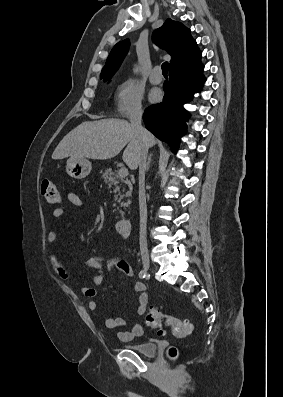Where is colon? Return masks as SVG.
<instances>
[{
	"mask_svg": "<svg viewBox=\"0 0 283 397\" xmlns=\"http://www.w3.org/2000/svg\"><path fill=\"white\" fill-rule=\"evenodd\" d=\"M41 195L50 204H57L60 202V194L57 190L56 185L48 178H44L40 185ZM147 325L157 330L159 334L165 331V327H168L172 333L177 337H185L192 333L193 325L188 320H182L174 317L173 315L166 313L159 308H150L146 315ZM178 355V351L175 347H170L167 350V356L171 360H175Z\"/></svg>",
	"mask_w": 283,
	"mask_h": 397,
	"instance_id": "obj_1",
	"label": "colon"
}]
</instances>
